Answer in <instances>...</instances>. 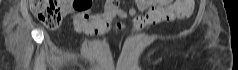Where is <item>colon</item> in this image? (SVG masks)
I'll list each match as a JSON object with an SVG mask.
<instances>
[{"instance_id": "1", "label": "colon", "mask_w": 238, "mask_h": 70, "mask_svg": "<svg viewBox=\"0 0 238 70\" xmlns=\"http://www.w3.org/2000/svg\"><path fill=\"white\" fill-rule=\"evenodd\" d=\"M79 1H74L78 5ZM108 2H117V0H109ZM178 3L170 11L165 13L166 17H174L178 19L187 18L193 11V0H176ZM30 8L35 16L48 28L55 29L60 26L65 15V9L60 0H31Z\"/></svg>"}]
</instances>
